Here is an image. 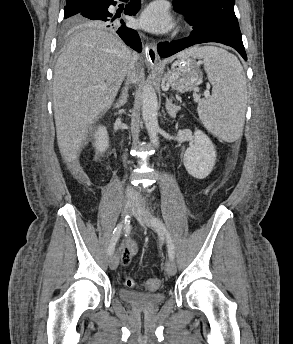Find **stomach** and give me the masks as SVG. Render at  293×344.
Instances as JSON below:
<instances>
[{
  "instance_id": "obj_1",
  "label": "stomach",
  "mask_w": 293,
  "mask_h": 344,
  "mask_svg": "<svg viewBox=\"0 0 293 344\" xmlns=\"http://www.w3.org/2000/svg\"><path fill=\"white\" fill-rule=\"evenodd\" d=\"M164 79L180 93L192 91L203 81L200 64L189 56H178L171 69L164 74Z\"/></svg>"
}]
</instances>
